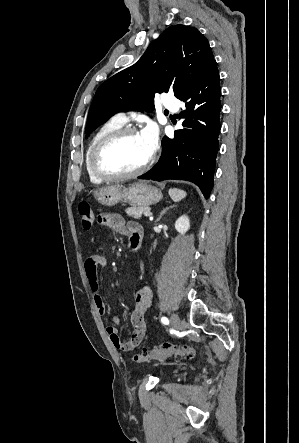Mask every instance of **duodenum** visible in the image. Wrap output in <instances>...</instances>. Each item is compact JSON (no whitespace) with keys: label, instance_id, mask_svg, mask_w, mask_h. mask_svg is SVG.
<instances>
[{"label":"duodenum","instance_id":"410a0bca","mask_svg":"<svg viewBox=\"0 0 299 443\" xmlns=\"http://www.w3.org/2000/svg\"><path fill=\"white\" fill-rule=\"evenodd\" d=\"M139 247H140V242L132 241L128 246V250L129 252H135L139 249Z\"/></svg>","mask_w":299,"mask_h":443}]
</instances>
